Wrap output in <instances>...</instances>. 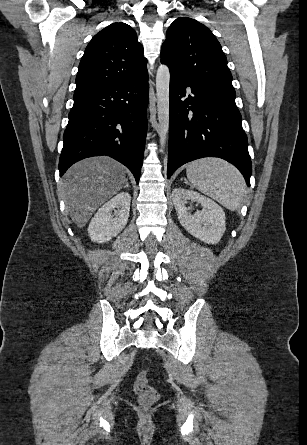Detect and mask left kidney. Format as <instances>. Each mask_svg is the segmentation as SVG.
I'll return each mask as SVG.
<instances>
[{"mask_svg": "<svg viewBox=\"0 0 307 445\" xmlns=\"http://www.w3.org/2000/svg\"><path fill=\"white\" fill-rule=\"evenodd\" d=\"M172 200L182 227L190 235L208 245H216L221 241L226 231L225 212L217 202L187 188H173ZM187 200L199 202L203 206L202 210L191 214L188 206H185Z\"/></svg>", "mask_w": 307, "mask_h": 445, "instance_id": "5707ae66", "label": "left kidney"}]
</instances>
